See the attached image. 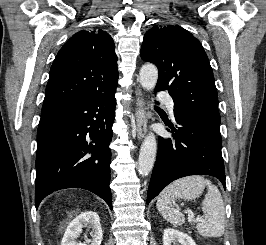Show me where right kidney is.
Segmentation results:
<instances>
[{"mask_svg": "<svg viewBox=\"0 0 266 245\" xmlns=\"http://www.w3.org/2000/svg\"><path fill=\"white\" fill-rule=\"evenodd\" d=\"M71 223L72 245H82V243H77L76 239L79 237V233H82L83 227L92 229V241H88V243H90V245H101L103 231L97 213H93V211H85V213H81L76 219H73Z\"/></svg>", "mask_w": 266, "mask_h": 245, "instance_id": "ca27d5eb", "label": "right kidney"}]
</instances>
